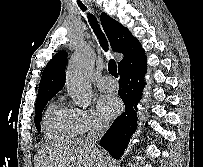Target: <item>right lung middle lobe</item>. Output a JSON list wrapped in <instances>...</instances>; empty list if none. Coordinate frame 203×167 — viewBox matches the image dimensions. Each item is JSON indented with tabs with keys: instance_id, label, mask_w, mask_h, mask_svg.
<instances>
[{
	"instance_id": "right-lung-middle-lobe-1",
	"label": "right lung middle lobe",
	"mask_w": 203,
	"mask_h": 167,
	"mask_svg": "<svg viewBox=\"0 0 203 167\" xmlns=\"http://www.w3.org/2000/svg\"><path fill=\"white\" fill-rule=\"evenodd\" d=\"M51 98H48V99H44L42 101H39L36 103L35 105V112H36V115H35V118H34V122H35V125H36V128L38 131H40V122L42 120V111L43 109L45 108L46 104L48 103V101L50 100Z\"/></svg>"
}]
</instances>
